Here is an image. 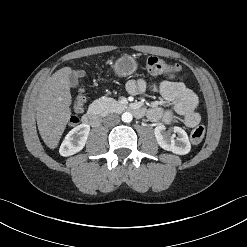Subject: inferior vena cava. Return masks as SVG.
I'll return each mask as SVG.
<instances>
[{
	"mask_svg": "<svg viewBox=\"0 0 247 247\" xmlns=\"http://www.w3.org/2000/svg\"><path fill=\"white\" fill-rule=\"evenodd\" d=\"M120 122V117L117 114H110L104 118V124L107 126H114Z\"/></svg>",
	"mask_w": 247,
	"mask_h": 247,
	"instance_id": "602c4592",
	"label": "inferior vena cava"
}]
</instances>
